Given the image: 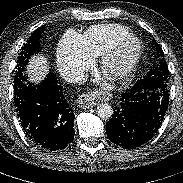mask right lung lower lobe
Masks as SVG:
<instances>
[{"instance_id":"right-lung-lower-lobe-1","label":"right lung lower lobe","mask_w":183,"mask_h":183,"mask_svg":"<svg viewBox=\"0 0 183 183\" xmlns=\"http://www.w3.org/2000/svg\"><path fill=\"white\" fill-rule=\"evenodd\" d=\"M14 103L26 136L36 146L58 151L74 140L75 116L52 73L39 85L23 74L14 84Z\"/></svg>"}]
</instances>
